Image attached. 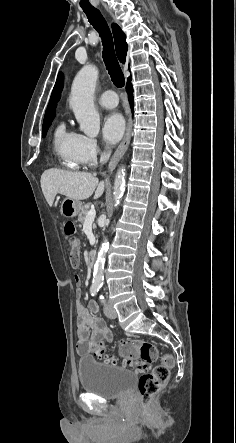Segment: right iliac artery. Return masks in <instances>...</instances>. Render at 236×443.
I'll return each instance as SVG.
<instances>
[{
    "label": "right iliac artery",
    "instance_id": "obj_1",
    "mask_svg": "<svg viewBox=\"0 0 236 443\" xmlns=\"http://www.w3.org/2000/svg\"><path fill=\"white\" fill-rule=\"evenodd\" d=\"M99 289H100V286L92 285V286L90 287V293H91V295H92V296H95V295L97 294V292L99 291Z\"/></svg>",
    "mask_w": 236,
    "mask_h": 443
}]
</instances>
